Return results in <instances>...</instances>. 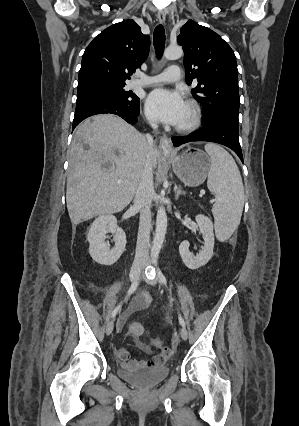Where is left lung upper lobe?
Instances as JSON below:
<instances>
[{
  "mask_svg": "<svg viewBox=\"0 0 299 426\" xmlns=\"http://www.w3.org/2000/svg\"><path fill=\"white\" fill-rule=\"evenodd\" d=\"M188 85H198L192 94L204 107V120L227 119L239 124L238 70L233 50L217 33L189 20L180 31Z\"/></svg>",
  "mask_w": 299,
  "mask_h": 426,
  "instance_id": "left-lung-upper-lobe-1",
  "label": "left lung upper lobe"
}]
</instances>
